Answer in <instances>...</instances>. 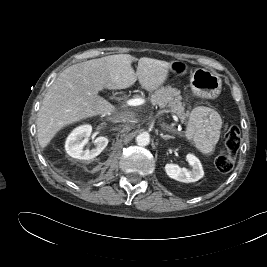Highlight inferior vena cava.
I'll return each mask as SVG.
<instances>
[{
  "instance_id": "obj_1",
  "label": "inferior vena cava",
  "mask_w": 267,
  "mask_h": 267,
  "mask_svg": "<svg viewBox=\"0 0 267 267\" xmlns=\"http://www.w3.org/2000/svg\"><path fill=\"white\" fill-rule=\"evenodd\" d=\"M112 120L114 122H126L130 124L137 123V117L133 112H120L113 116Z\"/></svg>"
}]
</instances>
